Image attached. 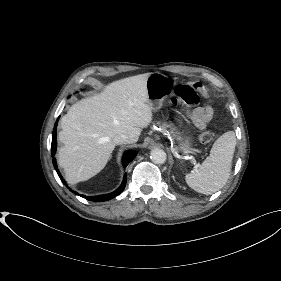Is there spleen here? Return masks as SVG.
<instances>
[{
  "mask_svg": "<svg viewBox=\"0 0 281 281\" xmlns=\"http://www.w3.org/2000/svg\"><path fill=\"white\" fill-rule=\"evenodd\" d=\"M236 143L233 131L220 136L213 144L210 155L201 166L185 176L189 187L205 195L220 190L229 178Z\"/></svg>",
  "mask_w": 281,
  "mask_h": 281,
  "instance_id": "spleen-1",
  "label": "spleen"
}]
</instances>
